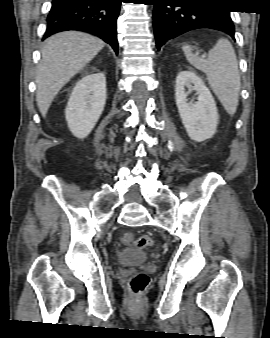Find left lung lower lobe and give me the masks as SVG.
I'll return each mask as SVG.
<instances>
[{
  "label": "left lung lower lobe",
  "instance_id": "1",
  "mask_svg": "<svg viewBox=\"0 0 270 338\" xmlns=\"http://www.w3.org/2000/svg\"><path fill=\"white\" fill-rule=\"evenodd\" d=\"M151 2L154 5L153 26L158 50L166 41L200 28L220 30L234 39L235 28L230 10L224 8L221 0H152Z\"/></svg>",
  "mask_w": 270,
  "mask_h": 338
}]
</instances>
